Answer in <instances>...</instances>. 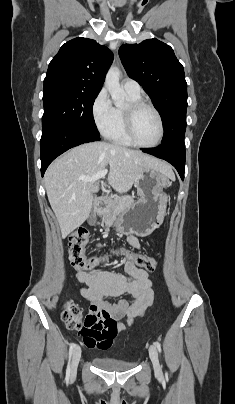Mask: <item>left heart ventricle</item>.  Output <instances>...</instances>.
<instances>
[{"instance_id": "b2bd125f", "label": "left heart ventricle", "mask_w": 235, "mask_h": 404, "mask_svg": "<svg viewBox=\"0 0 235 404\" xmlns=\"http://www.w3.org/2000/svg\"><path fill=\"white\" fill-rule=\"evenodd\" d=\"M134 133L143 144L154 143L159 136V123L156 115L149 109H142L135 117Z\"/></svg>"}]
</instances>
